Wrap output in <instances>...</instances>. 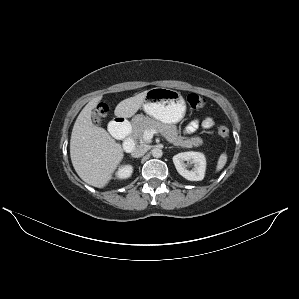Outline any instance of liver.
<instances>
[{"label":"liver","mask_w":299,"mask_h":299,"mask_svg":"<svg viewBox=\"0 0 299 299\" xmlns=\"http://www.w3.org/2000/svg\"><path fill=\"white\" fill-rule=\"evenodd\" d=\"M147 91L124 99L115 108L117 117L130 118L142 106ZM102 96H98L82 109L73 126L70 156L79 177L87 184L103 188L124 157L122 146L105 129L92 123V110Z\"/></svg>","instance_id":"obj_1"}]
</instances>
